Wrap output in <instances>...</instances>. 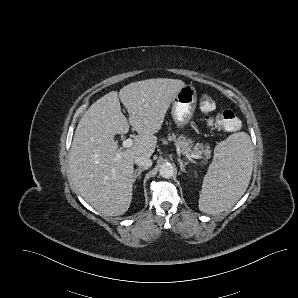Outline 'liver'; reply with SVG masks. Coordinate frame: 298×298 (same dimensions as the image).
I'll use <instances>...</instances> for the list:
<instances>
[{"instance_id":"obj_1","label":"liver","mask_w":298,"mask_h":298,"mask_svg":"<svg viewBox=\"0 0 298 298\" xmlns=\"http://www.w3.org/2000/svg\"><path fill=\"white\" fill-rule=\"evenodd\" d=\"M185 85L172 78L132 82L119 92L112 90L95 101L80 119L71 145L69 170L81 196L100 213H125L132 198L136 156L150 157L154 135L161 127L172 99ZM120 101L128 112L121 111ZM138 133L131 147L123 149L115 134ZM118 157L117 162L113 160Z\"/></svg>"}]
</instances>
